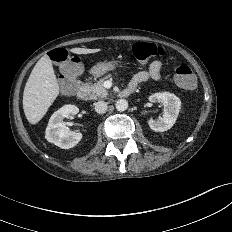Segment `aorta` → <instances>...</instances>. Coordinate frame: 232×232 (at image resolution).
<instances>
[{
    "label": "aorta",
    "instance_id": "aorta-1",
    "mask_svg": "<svg viewBox=\"0 0 232 232\" xmlns=\"http://www.w3.org/2000/svg\"><path fill=\"white\" fill-rule=\"evenodd\" d=\"M115 106L118 111L123 112L128 108V102L125 99H119Z\"/></svg>",
    "mask_w": 232,
    "mask_h": 232
}]
</instances>
